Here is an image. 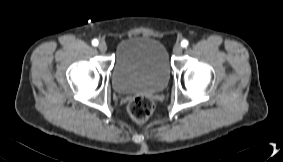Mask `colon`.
Wrapping results in <instances>:
<instances>
[{"instance_id":"obj_1","label":"colon","mask_w":283,"mask_h":162,"mask_svg":"<svg viewBox=\"0 0 283 162\" xmlns=\"http://www.w3.org/2000/svg\"><path fill=\"white\" fill-rule=\"evenodd\" d=\"M155 109L153 101L146 96L135 97L128 106L130 117L137 123L148 120Z\"/></svg>"}]
</instances>
